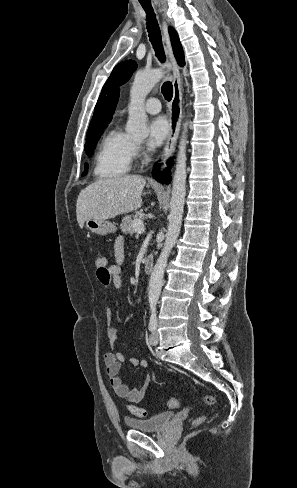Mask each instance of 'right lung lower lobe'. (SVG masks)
<instances>
[{
	"label": "right lung lower lobe",
	"instance_id": "obj_1",
	"mask_svg": "<svg viewBox=\"0 0 297 488\" xmlns=\"http://www.w3.org/2000/svg\"><path fill=\"white\" fill-rule=\"evenodd\" d=\"M170 164L172 162L170 161ZM154 178L163 184H168L171 181V173L169 169H165L163 172H160L159 169L156 167L153 171Z\"/></svg>",
	"mask_w": 297,
	"mask_h": 488
}]
</instances>
